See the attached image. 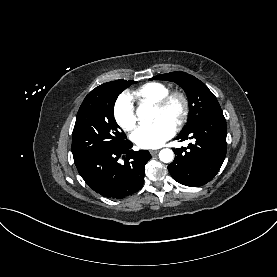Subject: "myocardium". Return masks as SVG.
Segmentation results:
<instances>
[{"label":"myocardium","mask_w":277,"mask_h":277,"mask_svg":"<svg viewBox=\"0 0 277 277\" xmlns=\"http://www.w3.org/2000/svg\"><path fill=\"white\" fill-rule=\"evenodd\" d=\"M175 101H178L181 106L180 112L176 117L175 124L177 126H181L187 121L190 112L189 99L184 92L178 90L169 91L165 96H163L153 105L155 108L165 112Z\"/></svg>","instance_id":"myocardium-1"}]
</instances>
